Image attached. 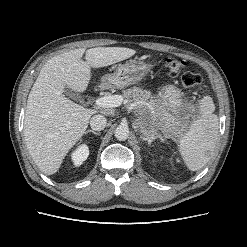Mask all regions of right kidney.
I'll return each instance as SVG.
<instances>
[{"label":"right kidney","instance_id":"ca27d5eb","mask_svg":"<svg viewBox=\"0 0 247 247\" xmlns=\"http://www.w3.org/2000/svg\"><path fill=\"white\" fill-rule=\"evenodd\" d=\"M88 155V146L82 144L71 154V159L75 166H80L87 159Z\"/></svg>","mask_w":247,"mask_h":247}]
</instances>
